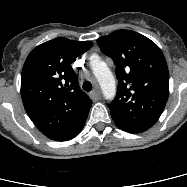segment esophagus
Segmentation results:
<instances>
[{
	"instance_id": "esophagus-1",
	"label": "esophagus",
	"mask_w": 187,
	"mask_h": 187,
	"mask_svg": "<svg viewBox=\"0 0 187 187\" xmlns=\"http://www.w3.org/2000/svg\"><path fill=\"white\" fill-rule=\"evenodd\" d=\"M101 96V91L99 88H95L91 93H90V97L94 100L97 101L99 100Z\"/></svg>"
}]
</instances>
